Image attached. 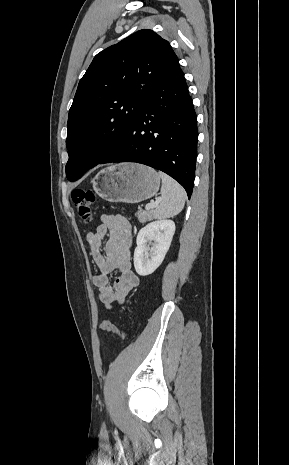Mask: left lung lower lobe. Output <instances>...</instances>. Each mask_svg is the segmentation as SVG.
<instances>
[{
  "mask_svg": "<svg viewBox=\"0 0 289 465\" xmlns=\"http://www.w3.org/2000/svg\"><path fill=\"white\" fill-rule=\"evenodd\" d=\"M197 139L196 114L179 67L145 96L118 144L98 164L136 162L159 169L177 180L190 198Z\"/></svg>",
  "mask_w": 289,
  "mask_h": 465,
  "instance_id": "0a47b994",
  "label": "left lung lower lobe"
}]
</instances>
